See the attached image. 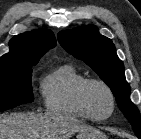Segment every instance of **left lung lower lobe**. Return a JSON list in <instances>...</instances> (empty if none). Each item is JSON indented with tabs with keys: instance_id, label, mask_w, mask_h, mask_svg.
Here are the masks:
<instances>
[{
	"instance_id": "0a47b994",
	"label": "left lung lower lobe",
	"mask_w": 141,
	"mask_h": 139,
	"mask_svg": "<svg viewBox=\"0 0 141 139\" xmlns=\"http://www.w3.org/2000/svg\"><path fill=\"white\" fill-rule=\"evenodd\" d=\"M137 137H138L139 139H141V135H137Z\"/></svg>"
}]
</instances>
